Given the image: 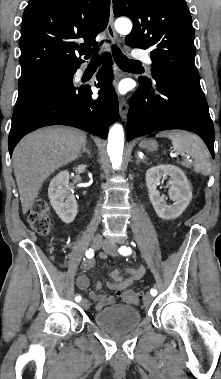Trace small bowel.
<instances>
[{
    "label": "small bowel",
    "mask_w": 221,
    "mask_h": 379,
    "mask_svg": "<svg viewBox=\"0 0 221 379\" xmlns=\"http://www.w3.org/2000/svg\"><path fill=\"white\" fill-rule=\"evenodd\" d=\"M94 260L88 259L83 262L82 268L84 270H90L94 267ZM146 269L144 266L140 265L132 269H121L115 268L111 273V280L107 283L109 289L116 291L118 294L124 291L128 286H130L134 281L140 280L145 276ZM77 286L79 289H87L89 286V279L85 275H79L77 277ZM102 288V282L98 280L95 283L96 291H91L89 293L90 298L95 301V309L100 311L106 306L111 305L114 302V298L111 295L99 294L97 291Z\"/></svg>",
    "instance_id": "c3829d8e"
}]
</instances>
